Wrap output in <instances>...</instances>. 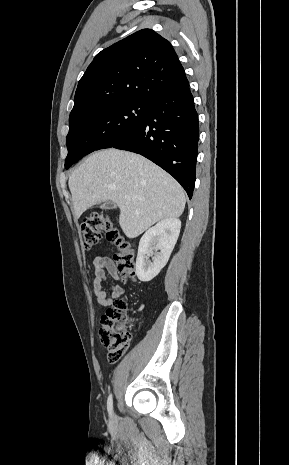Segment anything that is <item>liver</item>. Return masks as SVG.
I'll use <instances>...</instances> for the list:
<instances>
[{
    "instance_id": "6515ba94",
    "label": "liver",
    "mask_w": 289,
    "mask_h": 465,
    "mask_svg": "<svg viewBox=\"0 0 289 465\" xmlns=\"http://www.w3.org/2000/svg\"><path fill=\"white\" fill-rule=\"evenodd\" d=\"M76 218L111 200L120 208L119 224L135 238L158 221L182 215L186 197L168 173L145 157L114 148L91 154L69 177Z\"/></svg>"
}]
</instances>
